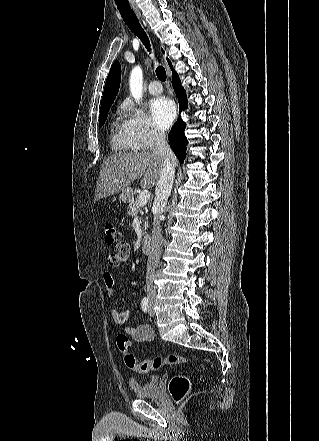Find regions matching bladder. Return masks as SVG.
Masks as SVG:
<instances>
[{"label":"bladder","instance_id":"obj_1","mask_svg":"<svg viewBox=\"0 0 319 441\" xmlns=\"http://www.w3.org/2000/svg\"><path fill=\"white\" fill-rule=\"evenodd\" d=\"M129 384L134 395L138 398H154L159 393V378L155 375L149 377L148 380L143 383L132 379Z\"/></svg>","mask_w":319,"mask_h":441}]
</instances>
